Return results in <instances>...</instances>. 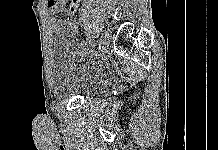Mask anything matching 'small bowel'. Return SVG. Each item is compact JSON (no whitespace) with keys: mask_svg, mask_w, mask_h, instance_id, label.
<instances>
[{"mask_svg":"<svg viewBox=\"0 0 218 150\" xmlns=\"http://www.w3.org/2000/svg\"><path fill=\"white\" fill-rule=\"evenodd\" d=\"M80 0H56L54 3H50L48 0V11L52 15L50 19V25L56 33H75L76 26L72 22V16L75 14L79 7ZM68 6V8H67ZM67 13V18L64 20H58L54 16L59 13Z\"/></svg>","mask_w":218,"mask_h":150,"instance_id":"1","label":"small bowel"}]
</instances>
